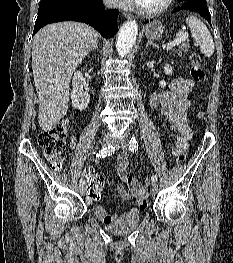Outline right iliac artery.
Here are the masks:
<instances>
[{
  "label": "right iliac artery",
  "instance_id": "82829eb1",
  "mask_svg": "<svg viewBox=\"0 0 233 263\" xmlns=\"http://www.w3.org/2000/svg\"><path fill=\"white\" fill-rule=\"evenodd\" d=\"M115 150H116L115 146L105 147V148L99 150V152H97L96 157L97 158H104L106 156H110L115 152ZM84 183H85V180L81 178L80 185H83Z\"/></svg>",
  "mask_w": 233,
  "mask_h": 263
}]
</instances>
